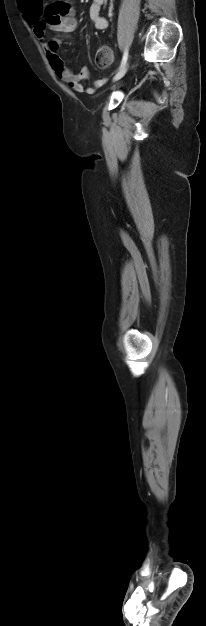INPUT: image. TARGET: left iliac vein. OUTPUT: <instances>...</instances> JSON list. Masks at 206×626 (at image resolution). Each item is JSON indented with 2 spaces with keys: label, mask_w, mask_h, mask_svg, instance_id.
I'll return each instance as SVG.
<instances>
[{
  "label": "left iliac vein",
  "mask_w": 206,
  "mask_h": 626,
  "mask_svg": "<svg viewBox=\"0 0 206 626\" xmlns=\"http://www.w3.org/2000/svg\"><path fill=\"white\" fill-rule=\"evenodd\" d=\"M128 67H129V63H125V65L113 77V81L115 82L121 79L126 74Z\"/></svg>",
  "instance_id": "4c4485c4"
}]
</instances>
